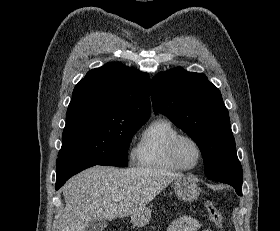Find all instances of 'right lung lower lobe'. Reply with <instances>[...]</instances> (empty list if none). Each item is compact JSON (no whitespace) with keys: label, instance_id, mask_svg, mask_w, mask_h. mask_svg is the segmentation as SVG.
<instances>
[{"label":"right lung lower lobe","instance_id":"1","mask_svg":"<svg viewBox=\"0 0 280 231\" xmlns=\"http://www.w3.org/2000/svg\"><path fill=\"white\" fill-rule=\"evenodd\" d=\"M96 164L88 163V162H78L72 160H57V168H56V190L64 185V183L73 175L78 172L92 167Z\"/></svg>","mask_w":280,"mask_h":231}]
</instances>
